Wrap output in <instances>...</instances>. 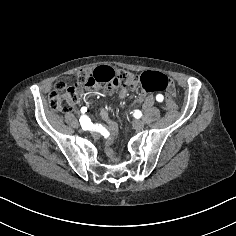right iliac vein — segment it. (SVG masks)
Listing matches in <instances>:
<instances>
[{
    "instance_id": "1",
    "label": "right iliac vein",
    "mask_w": 236,
    "mask_h": 236,
    "mask_svg": "<svg viewBox=\"0 0 236 236\" xmlns=\"http://www.w3.org/2000/svg\"><path fill=\"white\" fill-rule=\"evenodd\" d=\"M92 134L93 137H96L97 136V133L94 132L93 130L90 132Z\"/></svg>"
}]
</instances>
